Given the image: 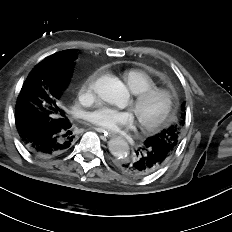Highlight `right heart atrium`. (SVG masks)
I'll return each mask as SVG.
<instances>
[{"label": "right heart atrium", "mask_w": 232, "mask_h": 232, "mask_svg": "<svg viewBox=\"0 0 232 232\" xmlns=\"http://www.w3.org/2000/svg\"><path fill=\"white\" fill-rule=\"evenodd\" d=\"M96 74H92L81 88L82 93L93 94L95 89Z\"/></svg>", "instance_id": "d8ad5b80"}]
</instances>
